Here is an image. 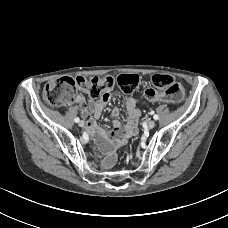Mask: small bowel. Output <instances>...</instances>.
Wrapping results in <instances>:
<instances>
[{
  "mask_svg": "<svg viewBox=\"0 0 228 228\" xmlns=\"http://www.w3.org/2000/svg\"><path fill=\"white\" fill-rule=\"evenodd\" d=\"M110 100V92L103 94L95 101L86 103L80 99L79 103L82 108V116L86 122V131L93 135L94 139L106 155L107 165H112L115 159V151L123 146L132 136L137 133V123L141 116L137 109V101L134 98L126 97L124 99L125 110L127 113V123L121 127L119 120L114 119L112 129L107 132L100 128L95 119L99 118L104 107ZM120 110L115 107L111 111L113 117H118Z\"/></svg>",
  "mask_w": 228,
  "mask_h": 228,
  "instance_id": "c3829d8e",
  "label": "small bowel"
}]
</instances>
